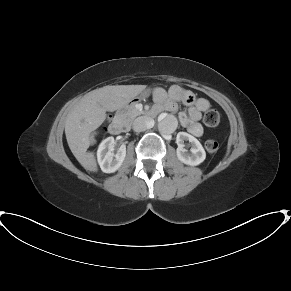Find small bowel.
<instances>
[{
  "label": "small bowel",
  "mask_w": 291,
  "mask_h": 291,
  "mask_svg": "<svg viewBox=\"0 0 291 291\" xmlns=\"http://www.w3.org/2000/svg\"><path fill=\"white\" fill-rule=\"evenodd\" d=\"M153 99L155 113L161 111L176 112L179 103L189 106L188 114L180 113L179 120L190 134L195 137L202 136L203 127L199 121L202 113L210 107V102L207 99L196 97L191 91L180 86H172L168 92L159 87L155 88Z\"/></svg>",
  "instance_id": "small-bowel-1"
}]
</instances>
